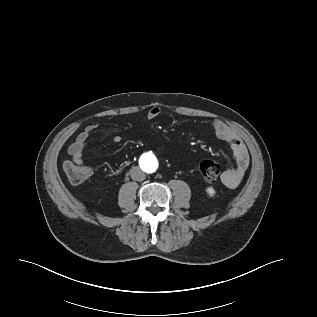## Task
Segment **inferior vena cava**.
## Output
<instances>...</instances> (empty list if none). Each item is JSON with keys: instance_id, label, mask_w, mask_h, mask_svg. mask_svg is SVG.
<instances>
[{"instance_id": "602c4592", "label": "inferior vena cava", "mask_w": 317, "mask_h": 317, "mask_svg": "<svg viewBox=\"0 0 317 317\" xmlns=\"http://www.w3.org/2000/svg\"><path fill=\"white\" fill-rule=\"evenodd\" d=\"M130 176L135 181H143L146 178L145 173L138 166H135L130 170Z\"/></svg>"}]
</instances>
